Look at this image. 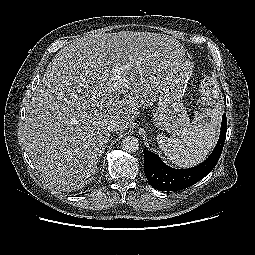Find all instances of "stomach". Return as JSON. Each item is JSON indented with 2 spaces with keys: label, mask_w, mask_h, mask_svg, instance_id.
Masks as SVG:
<instances>
[{
  "label": "stomach",
  "mask_w": 255,
  "mask_h": 255,
  "mask_svg": "<svg viewBox=\"0 0 255 255\" xmlns=\"http://www.w3.org/2000/svg\"><path fill=\"white\" fill-rule=\"evenodd\" d=\"M192 72L193 64L184 58L178 70L163 84L159 93L158 107L152 118L153 124L174 136H183L193 129L182 102Z\"/></svg>",
  "instance_id": "1"
}]
</instances>
